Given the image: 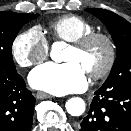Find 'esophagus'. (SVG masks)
<instances>
[{
    "mask_svg": "<svg viewBox=\"0 0 131 131\" xmlns=\"http://www.w3.org/2000/svg\"><path fill=\"white\" fill-rule=\"evenodd\" d=\"M35 95H36V98H38V99L51 98V95H49V94H47L45 92H41V91L37 92Z\"/></svg>",
    "mask_w": 131,
    "mask_h": 131,
    "instance_id": "34e87169",
    "label": "esophagus"
}]
</instances>
